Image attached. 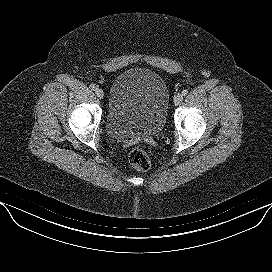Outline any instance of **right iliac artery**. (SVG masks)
Segmentation results:
<instances>
[{"instance_id":"right-iliac-artery-1","label":"right iliac artery","mask_w":272,"mask_h":272,"mask_svg":"<svg viewBox=\"0 0 272 272\" xmlns=\"http://www.w3.org/2000/svg\"><path fill=\"white\" fill-rule=\"evenodd\" d=\"M89 88H90L91 90H94V89L96 88V86H95L94 84H90Z\"/></svg>"}]
</instances>
